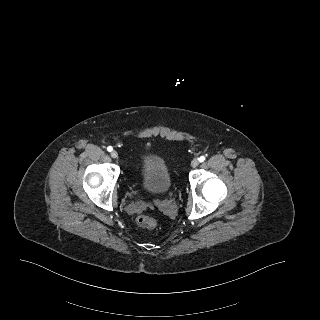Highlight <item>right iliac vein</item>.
Instances as JSON below:
<instances>
[{
	"instance_id": "right-iliac-vein-1",
	"label": "right iliac vein",
	"mask_w": 320,
	"mask_h": 320,
	"mask_svg": "<svg viewBox=\"0 0 320 320\" xmlns=\"http://www.w3.org/2000/svg\"><path fill=\"white\" fill-rule=\"evenodd\" d=\"M111 157H112V158H117V157H118L117 151H115V150L112 151V152H111Z\"/></svg>"
}]
</instances>
